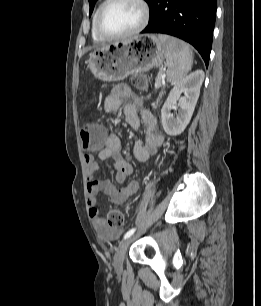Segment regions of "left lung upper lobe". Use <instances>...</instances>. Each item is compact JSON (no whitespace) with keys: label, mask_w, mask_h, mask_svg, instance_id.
Returning <instances> with one entry per match:
<instances>
[{"label":"left lung upper lobe","mask_w":261,"mask_h":306,"mask_svg":"<svg viewBox=\"0 0 261 306\" xmlns=\"http://www.w3.org/2000/svg\"><path fill=\"white\" fill-rule=\"evenodd\" d=\"M97 0H89V4H90V15L93 11L94 5L96 3ZM148 4L152 1V0H145Z\"/></svg>","instance_id":"left-lung-upper-lobe-1"}]
</instances>
